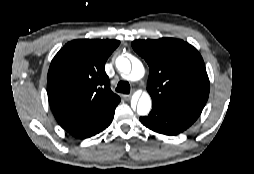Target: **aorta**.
Segmentation results:
<instances>
[{"instance_id":"762f6f07","label":"aorta","mask_w":254,"mask_h":174,"mask_svg":"<svg viewBox=\"0 0 254 174\" xmlns=\"http://www.w3.org/2000/svg\"><path fill=\"white\" fill-rule=\"evenodd\" d=\"M116 67L121 73L126 75L130 74L131 80H139L144 76L145 73L144 66L142 62L138 59H135L132 62L131 67L130 60L126 57L120 56L116 59ZM151 106V97L147 92H144L138 100L137 113L140 116H145L150 112Z\"/></svg>"}]
</instances>
